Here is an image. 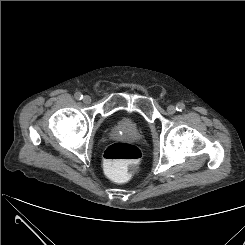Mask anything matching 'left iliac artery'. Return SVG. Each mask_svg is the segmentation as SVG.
<instances>
[{"label":"left iliac artery","instance_id":"obj_1","mask_svg":"<svg viewBox=\"0 0 245 245\" xmlns=\"http://www.w3.org/2000/svg\"><path fill=\"white\" fill-rule=\"evenodd\" d=\"M185 109V105L183 103H178L176 106V110L182 112Z\"/></svg>","mask_w":245,"mask_h":245}]
</instances>
